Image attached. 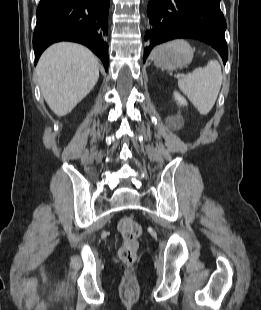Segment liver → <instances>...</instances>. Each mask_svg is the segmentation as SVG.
<instances>
[{"label": "liver", "mask_w": 261, "mask_h": 310, "mask_svg": "<svg viewBox=\"0 0 261 310\" xmlns=\"http://www.w3.org/2000/svg\"><path fill=\"white\" fill-rule=\"evenodd\" d=\"M36 73L46 103L62 117L93 89L99 78V64L86 47L62 42L42 54Z\"/></svg>", "instance_id": "1"}]
</instances>
